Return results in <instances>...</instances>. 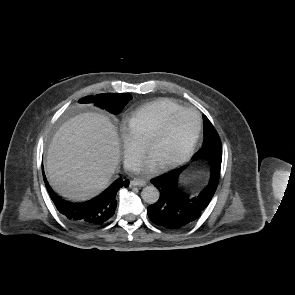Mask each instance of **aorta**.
Returning a JSON list of instances; mask_svg holds the SVG:
<instances>
[{"mask_svg":"<svg viewBox=\"0 0 295 295\" xmlns=\"http://www.w3.org/2000/svg\"><path fill=\"white\" fill-rule=\"evenodd\" d=\"M159 190L154 186H146L141 192V197L144 202L154 204L159 199Z\"/></svg>","mask_w":295,"mask_h":295,"instance_id":"obj_1","label":"aorta"}]
</instances>
